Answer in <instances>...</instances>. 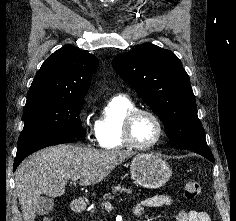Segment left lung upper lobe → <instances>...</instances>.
Masks as SVG:
<instances>
[{"mask_svg":"<svg viewBox=\"0 0 236 221\" xmlns=\"http://www.w3.org/2000/svg\"><path fill=\"white\" fill-rule=\"evenodd\" d=\"M112 65L160 117L175 148L208 147L189 76L172 51L143 43L115 57Z\"/></svg>","mask_w":236,"mask_h":221,"instance_id":"1","label":"left lung upper lobe"}]
</instances>
